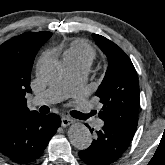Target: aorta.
Returning <instances> with one entry per match:
<instances>
[{
    "label": "aorta",
    "mask_w": 165,
    "mask_h": 165,
    "mask_svg": "<svg viewBox=\"0 0 165 165\" xmlns=\"http://www.w3.org/2000/svg\"><path fill=\"white\" fill-rule=\"evenodd\" d=\"M40 77L48 83H57L63 75V67L60 62L50 59L43 62L39 67ZM68 137L71 144L83 150L92 143L90 130L82 123H74L68 129Z\"/></svg>",
    "instance_id": "obj_1"
}]
</instances>
